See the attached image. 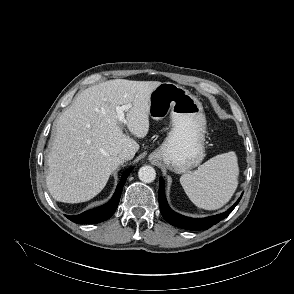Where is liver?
Returning <instances> with one entry per match:
<instances>
[{
    "label": "liver",
    "mask_w": 294,
    "mask_h": 294,
    "mask_svg": "<svg viewBox=\"0 0 294 294\" xmlns=\"http://www.w3.org/2000/svg\"><path fill=\"white\" fill-rule=\"evenodd\" d=\"M159 81L109 80L82 91L56 120L55 137L48 154L46 184L60 202H85L105 187L110 175L133 157L139 144L127 136L116 107L131 104L126 111L131 134L144 138L149 131V96Z\"/></svg>",
    "instance_id": "1"
}]
</instances>
